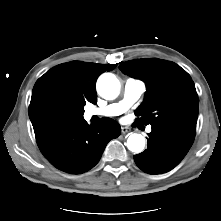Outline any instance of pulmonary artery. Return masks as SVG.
<instances>
[{
  "label": "pulmonary artery",
  "instance_id": "pulmonary-artery-1",
  "mask_svg": "<svg viewBox=\"0 0 221 221\" xmlns=\"http://www.w3.org/2000/svg\"><path fill=\"white\" fill-rule=\"evenodd\" d=\"M146 90L145 83L138 79H128L123 88V99L100 108H91L87 111L88 117L103 116L116 117L128 110L137 102ZM151 132V127L147 128Z\"/></svg>",
  "mask_w": 221,
  "mask_h": 221
}]
</instances>
